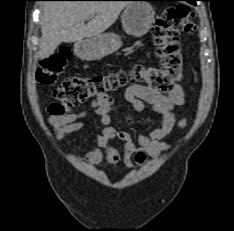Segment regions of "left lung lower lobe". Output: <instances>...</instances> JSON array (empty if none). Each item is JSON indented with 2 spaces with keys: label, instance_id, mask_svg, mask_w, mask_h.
Instances as JSON below:
<instances>
[{
  "label": "left lung lower lobe",
  "instance_id": "obj_1",
  "mask_svg": "<svg viewBox=\"0 0 234 231\" xmlns=\"http://www.w3.org/2000/svg\"><path fill=\"white\" fill-rule=\"evenodd\" d=\"M148 1H159V0H148ZM183 1H187L188 3L195 5L196 4L195 2L198 0H183Z\"/></svg>",
  "mask_w": 234,
  "mask_h": 231
}]
</instances>
